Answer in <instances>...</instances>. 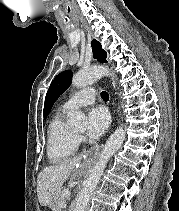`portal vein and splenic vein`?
Returning a JSON list of instances; mask_svg holds the SVG:
<instances>
[{
	"label": "portal vein and splenic vein",
	"instance_id": "portal-vein-and-splenic-vein-1",
	"mask_svg": "<svg viewBox=\"0 0 179 211\" xmlns=\"http://www.w3.org/2000/svg\"><path fill=\"white\" fill-rule=\"evenodd\" d=\"M70 195V191H64L63 193H62V197L63 198H66L67 196H69Z\"/></svg>",
	"mask_w": 179,
	"mask_h": 211
}]
</instances>
